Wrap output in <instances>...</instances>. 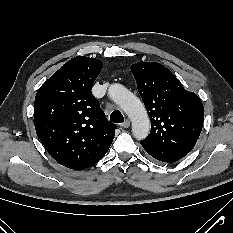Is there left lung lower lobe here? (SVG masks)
I'll list each match as a JSON object with an SVG mask.
<instances>
[{
    "mask_svg": "<svg viewBox=\"0 0 233 233\" xmlns=\"http://www.w3.org/2000/svg\"><path fill=\"white\" fill-rule=\"evenodd\" d=\"M141 145L149 155L162 162H175L187 155L186 153L157 146L145 140L141 141Z\"/></svg>",
    "mask_w": 233,
    "mask_h": 233,
    "instance_id": "0a47b994",
    "label": "left lung lower lobe"
}]
</instances>
